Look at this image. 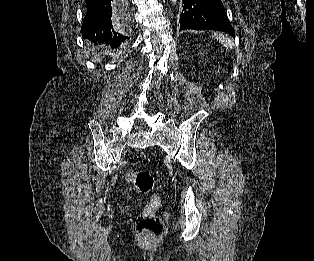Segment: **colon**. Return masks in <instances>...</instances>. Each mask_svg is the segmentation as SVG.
I'll use <instances>...</instances> for the list:
<instances>
[{
    "label": "colon",
    "mask_w": 314,
    "mask_h": 261,
    "mask_svg": "<svg viewBox=\"0 0 314 261\" xmlns=\"http://www.w3.org/2000/svg\"><path fill=\"white\" fill-rule=\"evenodd\" d=\"M125 177L129 183L136 186L140 193L150 195L148 205L136 219V232L149 240L159 238L162 236L165 227L162 220L156 214L160 206V199L158 196L152 194L154 188L153 175L144 170H129Z\"/></svg>",
    "instance_id": "colon-1"
}]
</instances>
